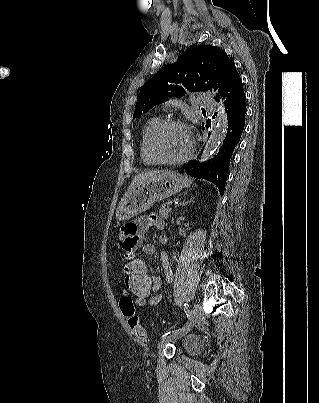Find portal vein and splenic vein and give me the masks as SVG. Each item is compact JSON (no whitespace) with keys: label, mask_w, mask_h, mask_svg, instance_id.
Returning a JSON list of instances; mask_svg holds the SVG:
<instances>
[{"label":"portal vein and splenic vein","mask_w":319,"mask_h":403,"mask_svg":"<svg viewBox=\"0 0 319 403\" xmlns=\"http://www.w3.org/2000/svg\"><path fill=\"white\" fill-rule=\"evenodd\" d=\"M168 205H172V201H169V202H168Z\"/></svg>","instance_id":"portal-vein-and-splenic-vein-1"}]
</instances>
